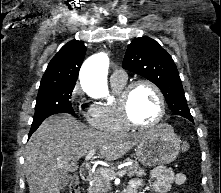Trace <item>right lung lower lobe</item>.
Returning a JSON list of instances; mask_svg holds the SVG:
<instances>
[{
    "label": "right lung lower lobe",
    "mask_w": 221,
    "mask_h": 193,
    "mask_svg": "<svg viewBox=\"0 0 221 193\" xmlns=\"http://www.w3.org/2000/svg\"><path fill=\"white\" fill-rule=\"evenodd\" d=\"M47 117L40 119L38 121H33L30 132H29V137L32 135V133L40 126V124L46 119Z\"/></svg>",
    "instance_id": "right-lung-lower-lobe-1"
}]
</instances>
